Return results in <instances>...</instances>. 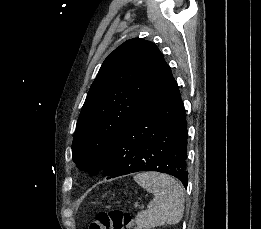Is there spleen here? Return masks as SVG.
Instances as JSON below:
<instances>
[{
	"label": "spleen",
	"instance_id": "1",
	"mask_svg": "<svg viewBox=\"0 0 261 229\" xmlns=\"http://www.w3.org/2000/svg\"><path fill=\"white\" fill-rule=\"evenodd\" d=\"M134 179L138 185L154 195L147 211L138 213L136 217L138 229L177 225L181 221L185 199L184 191L176 179L155 171L138 173Z\"/></svg>",
	"mask_w": 261,
	"mask_h": 229
}]
</instances>
